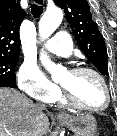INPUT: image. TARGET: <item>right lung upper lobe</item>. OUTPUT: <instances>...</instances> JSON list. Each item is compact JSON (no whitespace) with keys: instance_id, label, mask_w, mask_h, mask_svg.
Segmentation results:
<instances>
[{"instance_id":"obj_1","label":"right lung upper lobe","mask_w":117,"mask_h":136,"mask_svg":"<svg viewBox=\"0 0 117 136\" xmlns=\"http://www.w3.org/2000/svg\"><path fill=\"white\" fill-rule=\"evenodd\" d=\"M20 0H0V58H18L19 28L25 18Z\"/></svg>"}]
</instances>
